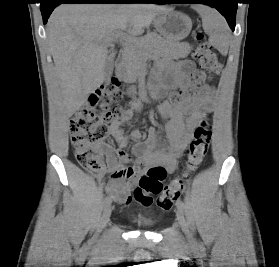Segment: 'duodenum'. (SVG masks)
<instances>
[{"mask_svg": "<svg viewBox=\"0 0 279 267\" xmlns=\"http://www.w3.org/2000/svg\"><path fill=\"white\" fill-rule=\"evenodd\" d=\"M115 70H116V74L118 76H122V74L124 72V63H123V61H118L116 63Z\"/></svg>", "mask_w": 279, "mask_h": 267, "instance_id": "duodenum-1", "label": "duodenum"}]
</instances>
